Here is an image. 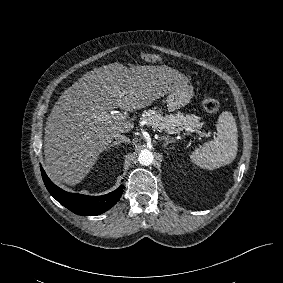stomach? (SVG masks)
<instances>
[{
	"mask_svg": "<svg viewBox=\"0 0 283 283\" xmlns=\"http://www.w3.org/2000/svg\"><path fill=\"white\" fill-rule=\"evenodd\" d=\"M194 95L192 86L186 80H181L168 93L166 97V105L168 110L174 111L187 105Z\"/></svg>",
	"mask_w": 283,
	"mask_h": 283,
	"instance_id": "1",
	"label": "stomach"
}]
</instances>
